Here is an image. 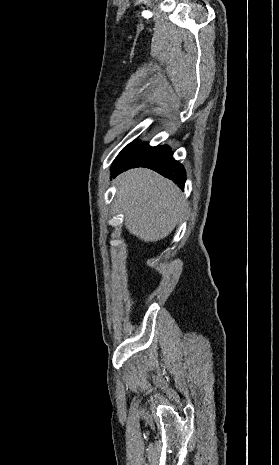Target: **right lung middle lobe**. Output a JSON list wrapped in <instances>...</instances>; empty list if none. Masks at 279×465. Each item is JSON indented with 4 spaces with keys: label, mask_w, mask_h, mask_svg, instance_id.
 I'll return each instance as SVG.
<instances>
[{
    "label": "right lung middle lobe",
    "mask_w": 279,
    "mask_h": 465,
    "mask_svg": "<svg viewBox=\"0 0 279 465\" xmlns=\"http://www.w3.org/2000/svg\"><path fill=\"white\" fill-rule=\"evenodd\" d=\"M168 151H170V148L166 145L150 147L148 143L138 144L133 141L119 153L113 167L147 163Z\"/></svg>",
    "instance_id": "dd1d6c3e"
}]
</instances>
